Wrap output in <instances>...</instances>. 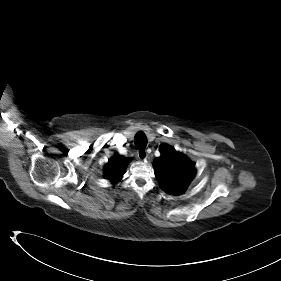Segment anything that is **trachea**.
I'll return each instance as SVG.
<instances>
[{
    "label": "trachea",
    "instance_id": "3493384b",
    "mask_svg": "<svg viewBox=\"0 0 281 281\" xmlns=\"http://www.w3.org/2000/svg\"><path fill=\"white\" fill-rule=\"evenodd\" d=\"M135 146L138 148H144L147 145V138L143 132H138L134 138Z\"/></svg>",
    "mask_w": 281,
    "mask_h": 281
}]
</instances>
